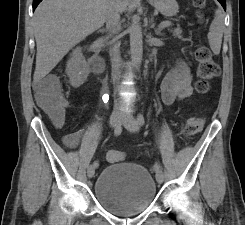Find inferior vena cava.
Segmentation results:
<instances>
[{"label":"inferior vena cava","instance_id":"1","mask_svg":"<svg viewBox=\"0 0 245 225\" xmlns=\"http://www.w3.org/2000/svg\"><path fill=\"white\" fill-rule=\"evenodd\" d=\"M120 8L118 5V0H109L106 7V28H108L111 34L117 33L119 30L120 21ZM121 58L119 55V45H114L112 49V77L113 82L118 80L120 74ZM119 104L116 102L115 107L118 108Z\"/></svg>","mask_w":245,"mask_h":225}]
</instances>
